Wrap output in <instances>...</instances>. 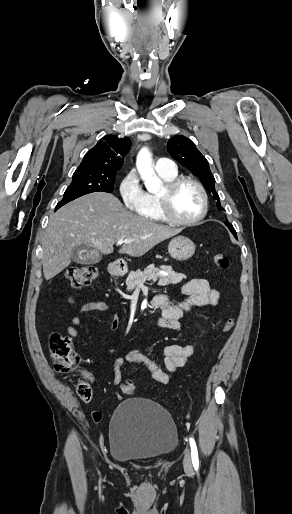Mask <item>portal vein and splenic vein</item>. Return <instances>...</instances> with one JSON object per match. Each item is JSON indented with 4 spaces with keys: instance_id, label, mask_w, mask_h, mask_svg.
<instances>
[{
    "instance_id": "1",
    "label": "portal vein and splenic vein",
    "mask_w": 292,
    "mask_h": 514,
    "mask_svg": "<svg viewBox=\"0 0 292 514\" xmlns=\"http://www.w3.org/2000/svg\"><path fill=\"white\" fill-rule=\"evenodd\" d=\"M124 242H126V244H129L128 240H118L117 244L118 246H121V244H124Z\"/></svg>"
}]
</instances>
